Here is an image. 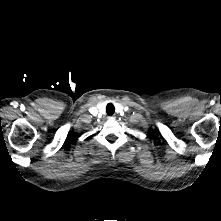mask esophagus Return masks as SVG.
I'll return each mask as SVG.
<instances>
[{
    "mask_svg": "<svg viewBox=\"0 0 221 221\" xmlns=\"http://www.w3.org/2000/svg\"><path fill=\"white\" fill-rule=\"evenodd\" d=\"M108 120H115V116H108Z\"/></svg>",
    "mask_w": 221,
    "mask_h": 221,
    "instance_id": "34e87169",
    "label": "esophagus"
}]
</instances>
